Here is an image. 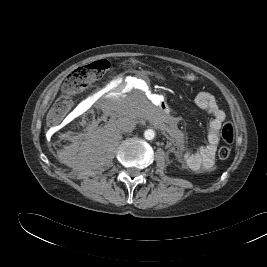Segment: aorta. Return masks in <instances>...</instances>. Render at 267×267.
I'll list each match as a JSON object with an SVG mask.
<instances>
[{"mask_svg":"<svg viewBox=\"0 0 267 267\" xmlns=\"http://www.w3.org/2000/svg\"><path fill=\"white\" fill-rule=\"evenodd\" d=\"M144 137H145L147 140H152V139L155 137V132H154V130H152V129H147V130H145V132H144Z\"/></svg>","mask_w":267,"mask_h":267,"instance_id":"aorta-1","label":"aorta"}]
</instances>
